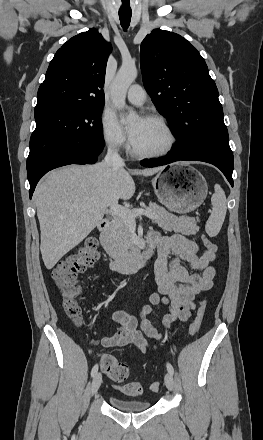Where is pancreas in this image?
<instances>
[{
  "instance_id": "cf45deb5",
  "label": "pancreas",
  "mask_w": 263,
  "mask_h": 440,
  "mask_svg": "<svg viewBox=\"0 0 263 440\" xmlns=\"http://www.w3.org/2000/svg\"><path fill=\"white\" fill-rule=\"evenodd\" d=\"M147 209L156 215V218L152 219V221L164 231H173L183 235H195L199 231L197 226L199 218L195 219L189 216L177 217L155 203H149ZM136 210L138 209L131 211ZM107 237L108 240L105 245L107 252L117 262L131 258L139 251L133 237L132 226L123 218L115 217L113 219Z\"/></svg>"
}]
</instances>
